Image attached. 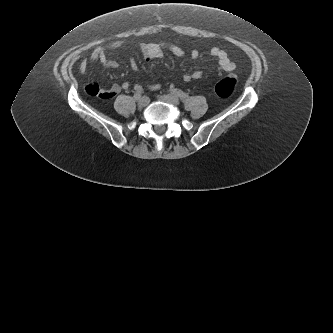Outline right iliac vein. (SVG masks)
I'll use <instances>...</instances> for the list:
<instances>
[{"mask_svg": "<svg viewBox=\"0 0 333 333\" xmlns=\"http://www.w3.org/2000/svg\"><path fill=\"white\" fill-rule=\"evenodd\" d=\"M150 100L147 96H143L138 100V106L143 108L149 104Z\"/></svg>", "mask_w": 333, "mask_h": 333, "instance_id": "63e3f726", "label": "right iliac vein"}]
</instances>
